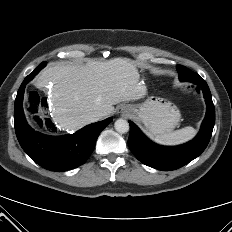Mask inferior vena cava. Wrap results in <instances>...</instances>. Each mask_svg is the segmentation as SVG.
I'll return each mask as SVG.
<instances>
[{"label": "inferior vena cava", "mask_w": 232, "mask_h": 232, "mask_svg": "<svg viewBox=\"0 0 232 232\" xmlns=\"http://www.w3.org/2000/svg\"><path fill=\"white\" fill-rule=\"evenodd\" d=\"M105 115H106L105 112L97 111V112H94L91 114L90 120H91V122H95V121L101 119L102 117H104Z\"/></svg>", "instance_id": "1"}]
</instances>
